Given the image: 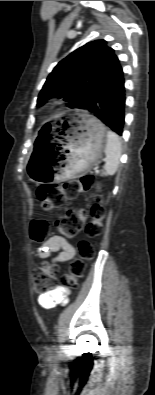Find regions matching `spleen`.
<instances>
[{"instance_id":"obj_1","label":"spleen","mask_w":155,"mask_h":395,"mask_svg":"<svg viewBox=\"0 0 155 395\" xmlns=\"http://www.w3.org/2000/svg\"><path fill=\"white\" fill-rule=\"evenodd\" d=\"M107 141L104 149L106 155L105 172L108 175H114L117 171L121 157V142L117 134L108 130L106 132Z\"/></svg>"}]
</instances>
